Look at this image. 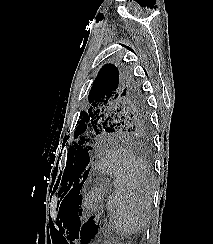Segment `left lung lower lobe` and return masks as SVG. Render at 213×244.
<instances>
[{"instance_id": "obj_1", "label": "left lung lower lobe", "mask_w": 213, "mask_h": 244, "mask_svg": "<svg viewBox=\"0 0 213 244\" xmlns=\"http://www.w3.org/2000/svg\"><path fill=\"white\" fill-rule=\"evenodd\" d=\"M88 173H89V169L84 171V173H83L82 176H81V180H80V182L77 184V187H80V188H81V186L83 185L85 179H86L87 176H88Z\"/></svg>"}]
</instances>
